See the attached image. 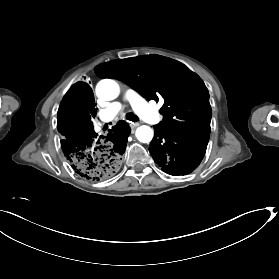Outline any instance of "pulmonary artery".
<instances>
[{"mask_svg": "<svg viewBox=\"0 0 279 279\" xmlns=\"http://www.w3.org/2000/svg\"><path fill=\"white\" fill-rule=\"evenodd\" d=\"M124 99L126 101L130 99V91L124 92ZM109 110L113 115H120L124 111V105L119 101H114L109 104Z\"/></svg>", "mask_w": 279, "mask_h": 279, "instance_id": "pulmonary-artery-1", "label": "pulmonary artery"}]
</instances>
